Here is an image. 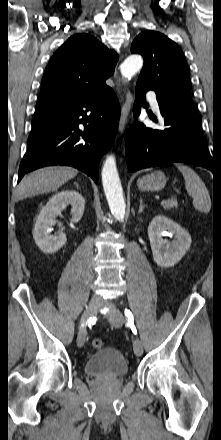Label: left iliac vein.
<instances>
[{
  "label": "left iliac vein",
  "mask_w": 221,
  "mask_h": 440,
  "mask_svg": "<svg viewBox=\"0 0 221 440\" xmlns=\"http://www.w3.org/2000/svg\"><path fill=\"white\" fill-rule=\"evenodd\" d=\"M109 305L112 308V312L108 315L109 322L115 327H120L124 323V317L114 304L109 303ZM133 349L137 356L142 355L143 346L138 338H135L134 340Z\"/></svg>",
  "instance_id": "1"
}]
</instances>
